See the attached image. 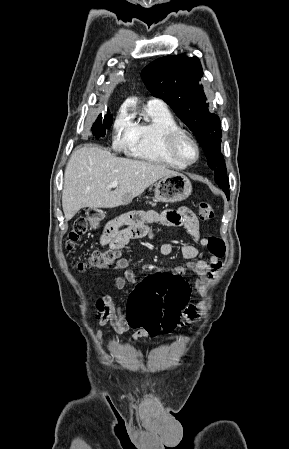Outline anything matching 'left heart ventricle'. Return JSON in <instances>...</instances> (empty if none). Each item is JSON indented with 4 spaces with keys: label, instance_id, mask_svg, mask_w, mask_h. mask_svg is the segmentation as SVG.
Wrapping results in <instances>:
<instances>
[{
    "label": "left heart ventricle",
    "instance_id": "1",
    "mask_svg": "<svg viewBox=\"0 0 289 449\" xmlns=\"http://www.w3.org/2000/svg\"><path fill=\"white\" fill-rule=\"evenodd\" d=\"M179 150L182 156L188 160H192L195 157V149L187 140H181Z\"/></svg>",
    "mask_w": 289,
    "mask_h": 449
}]
</instances>
